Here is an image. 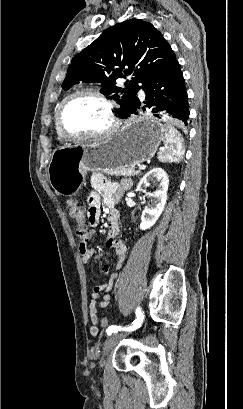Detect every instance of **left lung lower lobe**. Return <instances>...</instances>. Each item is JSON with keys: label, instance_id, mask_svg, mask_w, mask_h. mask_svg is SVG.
I'll return each instance as SVG.
<instances>
[{"label": "left lung lower lobe", "instance_id": "1", "mask_svg": "<svg viewBox=\"0 0 243 409\" xmlns=\"http://www.w3.org/2000/svg\"><path fill=\"white\" fill-rule=\"evenodd\" d=\"M146 101L138 99L123 118L147 110L156 117L168 115L187 125L189 106L180 65L175 60L169 67L152 77L143 87Z\"/></svg>", "mask_w": 243, "mask_h": 409}]
</instances>
